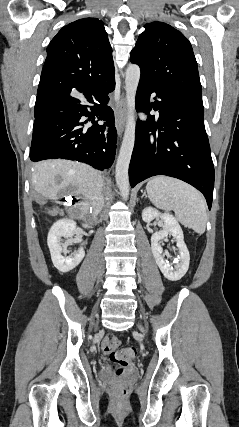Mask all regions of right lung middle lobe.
<instances>
[{"instance_id": "right-lung-middle-lobe-1", "label": "right lung middle lobe", "mask_w": 239, "mask_h": 427, "mask_svg": "<svg viewBox=\"0 0 239 427\" xmlns=\"http://www.w3.org/2000/svg\"><path fill=\"white\" fill-rule=\"evenodd\" d=\"M42 106H43L42 101H36L34 115H36L40 111Z\"/></svg>"}]
</instances>
